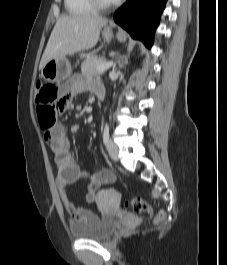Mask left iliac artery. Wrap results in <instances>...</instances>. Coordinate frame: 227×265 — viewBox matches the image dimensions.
<instances>
[{"instance_id":"left-iliac-artery-1","label":"left iliac artery","mask_w":227,"mask_h":265,"mask_svg":"<svg viewBox=\"0 0 227 265\" xmlns=\"http://www.w3.org/2000/svg\"><path fill=\"white\" fill-rule=\"evenodd\" d=\"M103 141L105 144H107L109 141V126H108V124H105V127H104Z\"/></svg>"}]
</instances>
